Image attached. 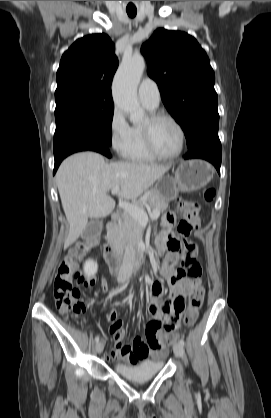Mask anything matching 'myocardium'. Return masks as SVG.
I'll list each match as a JSON object with an SVG mask.
<instances>
[{"label": "myocardium", "mask_w": 271, "mask_h": 418, "mask_svg": "<svg viewBox=\"0 0 271 418\" xmlns=\"http://www.w3.org/2000/svg\"><path fill=\"white\" fill-rule=\"evenodd\" d=\"M161 120L170 121L172 124H174L176 126V128L178 129V131L180 133L179 149H178L177 152H175L172 155H164V154L160 153L157 150V148L154 144V141H153V127L157 122H159ZM142 134H143V139H144L147 150L150 152L151 155H153L157 159L172 160V159H175L178 156H180L181 153L184 150L185 143H186L185 130H184L183 126L180 124V122L168 113L154 112V113L150 114L146 123L142 126Z\"/></svg>", "instance_id": "myocardium-1"}]
</instances>
